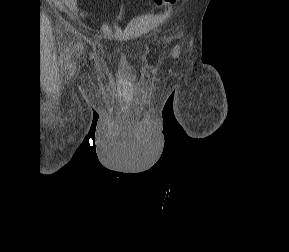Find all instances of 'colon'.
Instances as JSON below:
<instances>
[{
	"label": "colon",
	"instance_id": "obj_1",
	"mask_svg": "<svg viewBox=\"0 0 289 252\" xmlns=\"http://www.w3.org/2000/svg\"><path fill=\"white\" fill-rule=\"evenodd\" d=\"M156 5L161 6L163 4H174L176 0H152Z\"/></svg>",
	"mask_w": 289,
	"mask_h": 252
}]
</instances>
